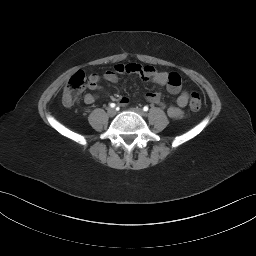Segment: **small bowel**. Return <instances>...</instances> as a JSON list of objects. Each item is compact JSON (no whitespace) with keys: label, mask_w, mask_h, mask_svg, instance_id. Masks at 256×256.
Segmentation results:
<instances>
[{"label":"small bowel","mask_w":256,"mask_h":256,"mask_svg":"<svg viewBox=\"0 0 256 256\" xmlns=\"http://www.w3.org/2000/svg\"><path fill=\"white\" fill-rule=\"evenodd\" d=\"M123 73H132L140 75L144 80L150 81L160 86H166L170 94L178 95L176 105H164L161 101V94L158 92H150L146 95L149 102L165 107L169 117L178 119L183 115V108L188 103V93L182 90L181 78L177 73H167L157 71L150 65H141L137 63L117 64L113 69L107 70L103 73V79L110 83H116L119 75ZM100 77L97 74H91V81L89 87L95 93H87L83 100L86 104H93L97 99V93L102 91L99 85ZM120 106H127L130 99L126 96L117 97Z\"/></svg>","instance_id":"c3829d8e"}]
</instances>
